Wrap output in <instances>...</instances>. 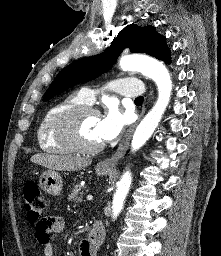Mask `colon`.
<instances>
[{
	"label": "colon",
	"mask_w": 221,
	"mask_h": 256,
	"mask_svg": "<svg viewBox=\"0 0 221 256\" xmlns=\"http://www.w3.org/2000/svg\"><path fill=\"white\" fill-rule=\"evenodd\" d=\"M23 194L28 220L41 227L44 221L42 214L46 208V199L43 193L36 182L29 181L24 186Z\"/></svg>",
	"instance_id": "colon-1"
}]
</instances>
